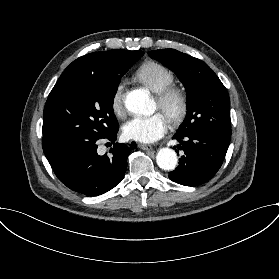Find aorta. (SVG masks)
<instances>
[{"mask_svg":"<svg viewBox=\"0 0 279 279\" xmlns=\"http://www.w3.org/2000/svg\"><path fill=\"white\" fill-rule=\"evenodd\" d=\"M125 106L134 114L151 115L154 112V104L145 90H133L126 96ZM157 165L166 171L176 168L178 159L173 149L161 148L156 155Z\"/></svg>","mask_w":279,"mask_h":279,"instance_id":"762f6f07","label":"aorta"}]
</instances>
